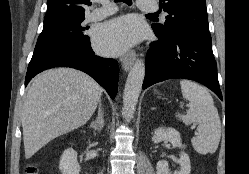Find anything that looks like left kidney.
<instances>
[{
    "label": "left kidney",
    "mask_w": 249,
    "mask_h": 174,
    "mask_svg": "<svg viewBox=\"0 0 249 174\" xmlns=\"http://www.w3.org/2000/svg\"><path fill=\"white\" fill-rule=\"evenodd\" d=\"M164 140H168L173 147L183 148L180 133L173 128L161 127L155 130L152 141L154 143H160ZM177 162L180 164V170L175 174H190V159L186 153H181ZM156 171L157 174H170L168 163L164 160L159 161L156 166Z\"/></svg>",
    "instance_id": "obj_1"
}]
</instances>
